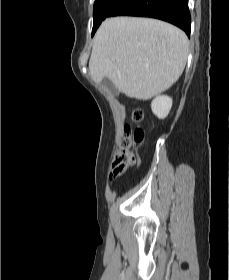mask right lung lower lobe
Segmentation results:
<instances>
[{"mask_svg":"<svg viewBox=\"0 0 229 280\" xmlns=\"http://www.w3.org/2000/svg\"><path fill=\"white\" fill-rule=\"evenodd\" d=\"M116 15L161 19L181 28L190 36L188 0H116L106 17Z\"/></svg>","mask_w":229,"mask_h":280,"instance_id":"1","label":"right lung lower lobe"}]
</instances>
